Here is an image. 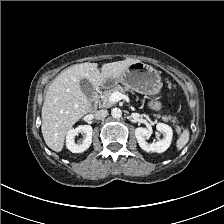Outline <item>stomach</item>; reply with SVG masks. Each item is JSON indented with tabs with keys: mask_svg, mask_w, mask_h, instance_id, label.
I'll use <instances>...</instances> for the list:
<instances>
[{
	"mask_svg": "<svg viewBox=\"0 0 224 224\" xmlns=\"http://www.w3.org/2000/svg\"><path fill=\"white\" fill-rule=\"evenodd\" d=\"M118 82L145 95H155L162 87L159 72L141 61L130 64L119 77L106 79L103 86L111 87Z\"/></svg>",
	"mask_w": 224,
	"mask_h": 224,
	"instance_id": "0dacf381",
	"label": "stomach"
}]
</instances>
